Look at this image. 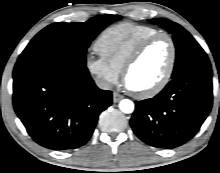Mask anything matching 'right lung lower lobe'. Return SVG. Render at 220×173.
Returning <instances> with one entry per match:
<instances>
[{
  "instance_id": "1",
  "label": "right lung lower lobe",
  "mask_w": 220,
  "mask_h": 173,
  "mask_svg": "<svg viewBox=\"0 0 220 173\" xmlns=\"http://www.w3.org/2000/svg\"><path fill=\"white\" fill-rule=\"evenodd\" d=\"M14 109L41 146L67 150L91 137L99 114L112 104L85 65L60 55L18 61L13 72Z\"/></svg>"
}]
</instances>
